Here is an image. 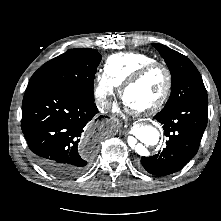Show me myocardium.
I'll list each match as a JSON object with an SVG mask.
<instances>
[{
    "instance_id": "obj_1",
    "label": "myocardium",
    "mask_w": 221,
    "mask_h": 221,
    "mask_svg": "<svg viewBox=\"0 0 221 221\" xmlns=\"http://www.w3.org/2000/svg\"><path fill=\"white\" fill-rule=\"evenodd\" d=\"M156 69L162 70L165 74L166 85H165L164 92L155 103L148 106L147 108L132 109L133 113L136 115H140V116L151 115L160 111L165 106V104L167 103L171 95L172 87H173V79H172L171 71L163 63H160L157 61L151 62L140 67L122 84L120 95H121L122 100L125 103V93L127 89L131 87L132 85L136 84L137 82H139L140 80H142L145 76H147L149 73H151L152 71Z\"/></svg>"
}]
</instances>
